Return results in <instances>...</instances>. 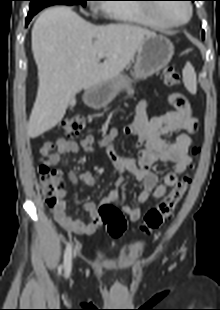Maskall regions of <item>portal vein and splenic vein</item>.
Returning <instances> with one entry per match:
<instances>
[{
    "label": "portal vein and splenic vein",
    "instance_id": "portal-vein-and-splenic-vein-1",
    "mask_svg": "<svg viewBox=\"0 0 220 310\" xmlns=\"http://www.w3.org/2000/svg\"><path fill=\"white\" fill-rule=\"evenodd\" d=\"M98 57H99V58L104 57V53H102V52H101V53H99V54H98Z\"/></svg>",
    "mask_w": 220,
    "mask_h": 310
}]
</instances>
